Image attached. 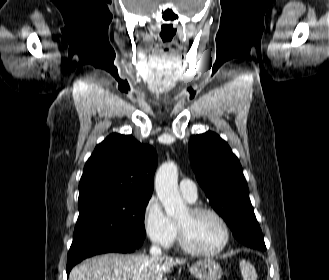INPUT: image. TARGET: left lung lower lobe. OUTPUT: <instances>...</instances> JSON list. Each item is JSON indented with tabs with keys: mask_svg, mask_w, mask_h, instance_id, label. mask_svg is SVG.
Here are the masks:
<instances>
[{
	"mask_svg": "<svg viewBox=\"0 0 329 280\" xmlns=\"http://www.w3.org/2000/svg\"><path fill=\"white\" fill-rule=\"evenodd\" d=\"M258 226H259V225H256L255 227H258ZM249 233H250V231H244V232L239 231V232L237 233L236 238H237V239L242 238L243 235H247V234H249ZM261 250H266V249H261Z\"/></svg>",
	"mask_w": 329,
	"mask_h": 280,
	"instance_id": "obj_1",
	"label": "left lung lower lobe"
}]
</instances>
